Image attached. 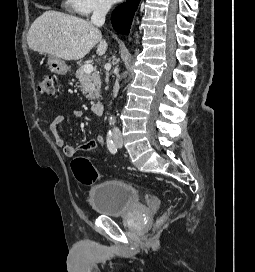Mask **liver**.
<instances>
[{
	"mask_svg": "<svg viewBox=\"0 0 255 272\" xmlns=\"http://www.w3.org/2000/svg\"><path fill=\"white\" fill-rule=\"evenodd\" d=\"M27 43L33 51L68 61L82 59L97 44L98 55H103L107 49L101 31L93 23L52 10L33 22Z\"/></svg>",
	"mask_w": 255,
	"mask_h": 272,
	"instance_id": "obj_1",
	"label": "liver"
}]
</instances>
